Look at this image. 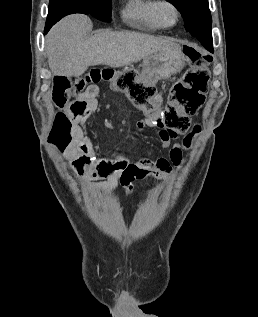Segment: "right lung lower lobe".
Masks as SVG:
<instances>
[{"label":"right lung lower lobe","instance_id":"98d812e1","mask_svg":"<svg viewBox=\"0 0 258 317\" xmlns=\"http://www.w3.org/2000/svg\"><path fill=\"white\" fill-rule=\"evenodd\" d=\"M72 13H82L95 15V10L90 3H85L84 0H55L49 3V13L45 25L44 34L61 18Z\"/></svg>","mask_w":258,"mask_h":317}]
</instances>
